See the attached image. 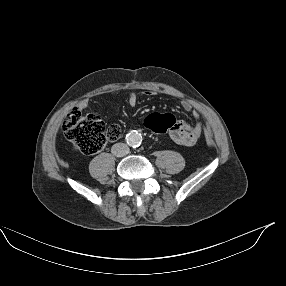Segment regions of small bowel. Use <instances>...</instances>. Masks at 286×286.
I'll use <instances>...</instances> for the list:
<instances>
[{"label": "small bowel", "instance_id": "1", "mask_svg": "<svg viewBox=\"0 0 286 286\" xmlns=\"http://www.w3.org/2000/svg\"><path fill=\"white\" fill-rule=\"evenodd\" d=\"M147 96H154L155 91L148 90L145 92ZM127 103L129 106L134 107L138 103V96L135 92H131L128 96ZM87 104L82 103L80 107L82 109L86 108ZM184 108L186 110L191 109V105L188 102L184 103ZM195 116L198 117L199 114L196 112ZM146 119V118H145ZM145 124V121H144ZM146 126V125H145ZM202 133V126L200 123L196 122L194 124H188L182 120H179V124L168 131L170 138L178 145L181 146H192L194 145L200 138Z\"/></svg>", "mask_w": 286, "mask_h": 286}]
</instances>
